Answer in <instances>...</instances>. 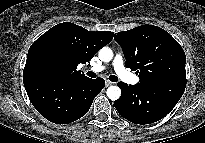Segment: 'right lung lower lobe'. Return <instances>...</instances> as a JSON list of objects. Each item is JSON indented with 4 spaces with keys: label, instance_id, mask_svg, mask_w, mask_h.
<instances>
[{
    "label": "right lung lower lobe",
    "instance_id": "98d812e1",
    "mask_svg": "<svg viewBox=\"0 0 205 143\" xmlns=\"http://www.w3.org/2000/svg\"><path fill=\"white\" fill-rule=\"evenodd\" d=\"M32 105L47 120L68 124L84 116L105 86L102 78L68 79L50 73L23 76Z\"/></svg>",
    "mask_w": 205,
    "mask_h": 143
}]
</instances>
